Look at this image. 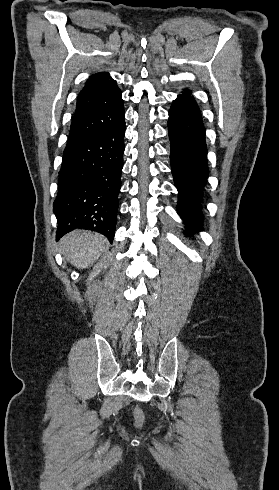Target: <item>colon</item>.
I'll use <instances>...</instances> for the list:
<instances>
[{"label": "colon", "mask_w": 279, "mask_h": 490, "mask_svg": "<svg viewBox=\"0 0 279 490\" xmlns=\"http://www.w3.org/2000/svg\"><path fill=\"white\" fill-rule=\"evenodd\" d=\"M133 414H134V417L139 419V420L144 419V412L141 409L134 410Z\"/></svg>", "instance_id": "obj_1"}]
</instances>
